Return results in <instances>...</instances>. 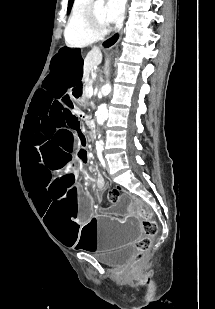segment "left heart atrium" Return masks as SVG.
Wrapping results in <instances>:
<instances>
[{
  "mask_svg": "<svg viewBox=\"0 0 215 309\" xmlns=\"http://www.w3.org/2000/svg\"><path fill=\"white\" fill-rule=\"evenodd\" d=\"M108 8L103 17L99 18L98 20H111L112 23H115L119 20L121 16V12H125L126 7L122 5L121 0H107L106 2Z\"/></svg>",
  "mask_w": 215,
  "mask_h": 309,
  "instance_id": "left-heart-atrium-1",
  "label": "left heart atrium"
}]
</instances>
